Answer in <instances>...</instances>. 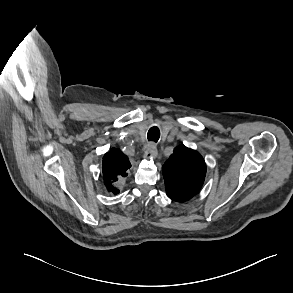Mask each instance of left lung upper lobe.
Returning <instances> with one entry per match:
<instances>
[{
    "label": "left lung upper lobe",
    "instance_id": "5c2ea615",
    "mask_svg": "<svg viewBox=\"0 0 293 293\" xmlns=\"http://www.w3.org/2000/svg\"><path fill=\"white\" fill-rule=\"evenodd\" d=\"M162 168L167 196L177 202H185L196 195L206 174L202 156L184 145L174 150Z\"/></svg>",
    "mask_w": 293,
    "mask_h": 293
}]
</instances>
